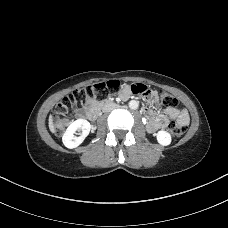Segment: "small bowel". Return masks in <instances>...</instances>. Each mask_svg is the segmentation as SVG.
I'll return each mask as SVG.
<instances>
[{
	"label": "small bowel",
	"instance_id": "1",
	"mask_svg": "<svg viewBox=\"0 0 228 228\" xmlns=\"http://www.w3.org/2000/svg\"><path fill=\"white\" fill-rule=\"evenodd\" d=\"M130 93H131L130 87L129 86H124L121 89L119 95H120V97L122 99H127L130 96ZM148 100L149 101H157L158 100L157 94L156 93H152L151 96L148 98ZM86 104H87V109H86V111H87L88 109H90L92 106H94L96 104V98H94V97L89 98L87 100ZM145 110L151 116H154V117H156L159 120V125H157L156 129H162V128H165V127L168 126L169 118L167 116H163V115L156 116V115L153 114V112L149 108H145ZM86 111H84V112L81 111V112L78 113V115L79 116H83L86 113ZM167 114H168V116L170 118L176 119L179 123H181L184 126H186L188 124L189 116H188V113L184 109L172 108V109L168 110ZM148 131H150V130L148 129ZM150 132H153V131H150Z\"/></svg>",
	"mask_w": 228,
	"mask_h": 228
}]
</instances>
